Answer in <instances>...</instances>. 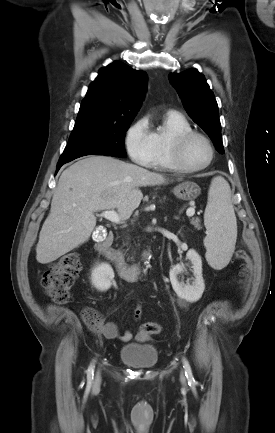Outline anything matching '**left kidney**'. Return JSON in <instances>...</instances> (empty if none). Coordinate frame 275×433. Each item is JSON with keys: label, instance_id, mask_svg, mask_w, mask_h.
I'll use <instances>...</instances> for the list:
<instances>
[{"label": "left kidney", "instance_id": "1", "mask_svg": "<svg viewBox=\"0 0 275 433\" xmlns=\"http://www.w3.org/2000/svg\"><path fill=\"white\" fill-rule=\"evenodd\" d=\"M186 257L192 263L193 274L195 276L192 285L178 281L177 275L184 271V267L181 264H177L171 268L169 277L174 291L180 298L189 302H196L201 298L205 289L202 277V260L199 254L193 249L187 252Z\"/></svg>", "mask_w": 275, "mask_h": 433}]
</instances>
